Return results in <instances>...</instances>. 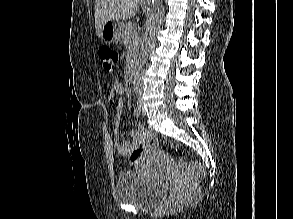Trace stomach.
<instances>
[{
    "label": "stomach",
    "instance_id": "stomach-1",
    "mask_svg": "<svg viewBox=\"0 0 293 219\" xmlns=\"http://www.w3.org/2000/svg\"><path fill=\"white\" fill-rule=\"evenodd\" d=\"M125 30V25L121 20L107 21L101 31V41L106 44H114L120 41Z\"/></svg>",
    "mask_w": 293,
    "mask_h": 219
}]
</instances>
